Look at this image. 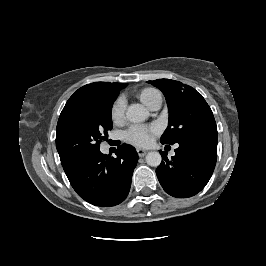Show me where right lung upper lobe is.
<instances>
[{
    "label": "right lung upper lobe",
    "mask_w": 266,
    "mask_h": 266,
    "mask_svg": "<svg viewBox=\"0 0 266 266\" xmlns=\"http://www.w3.org/2000/svg\"><path fill=\"white\" fill-rule=\"evenodd\" d=\"M125 86L126 84L123 83L95 82L79 88L65 104V107L60 114L58 123H60L63 118L73 110L89 100L106 93H119V91ZM60 160L66 175L70 174L79 163V161H66L61 158Z\"/></svg>",
    "instance_id": "right-lung-upper-lobe-1"
}]
</instances>
